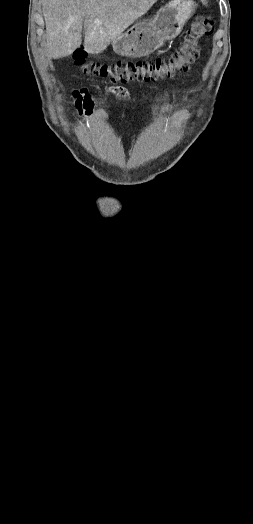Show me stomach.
I'll return each mask as SVG.
<instances>
[{"instance_id": "stomach-1", "label": "stomach", "mask_w": 253, "mask_h": 524, "mask_svg": "<svg viewBox=\"0 0 253 524\" xmlns=\"http://www.w3.org/2000/svg\"><path fill=\"white\" fill-rule=\"evenodd\" d=\"M195 9L193 0H172L152 21H139L111 41L115 53L130 58L147 56L177 37Z\"/></svg>"}]
</instances>
